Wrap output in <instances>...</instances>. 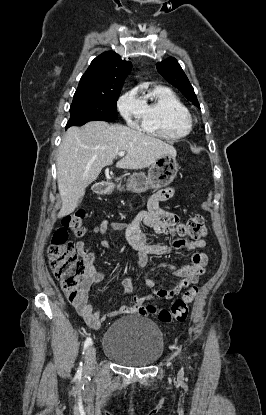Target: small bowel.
Returning <instances> with one entry per match:
<instances>
[{"label":"small bowel","instance_id":"obj_1","mask_svg":"<svg viewBox=\"0 0 266 415\" xmlns=\"http://www.w3.org/2000/svg\"><path fill=\"white\" fill-rule=\"evenodd\" d=\"M174 194V188L160 190L149 198L147 210L140 211L131 223H109L104 221L94 229V232L103 235L109 227L113 230H125L130 245L138 253V269L146 264L149 255H164L173 249H186L192 251L205 247L206 242L202 239H177L170 247L147 243L145 235L139 228L141 223L161 234L169 233L171 229L178 224L179 217L176 214L165 211L160 207L161 202L167 201L173 197ZM100 245L103 248H109L110 242L107 238L103 237L100 240ZM76 249L86 265V272L80 284L79 296L75 301H72L71 304L76 312L83 318L85 323L92 329H98L104 321L119 315H145L143 313V306L146 301L153 299L170 300L174 298L189 285L197 283L199 277L206 273L208 265V257L203 252L194 253L190 258V262L180 267L172 264H162V267L170 269L173 274L179 278L178 282L173 287L155 290L152 295L145 298L134 296L131 305H125L116 311L100 315L98 311H94L91 305L88 304V295L92 286L102 280L103 274L96 270V255L88 251L83 241H78L76 243ZM145 284L150 288L154 287V282L150 279L146 278ZM122 285L127 295H132L136 289L135 282L130 277L124 278Z\"/></svg>","mask_w":266,"mask_h":415}]
</instances>
